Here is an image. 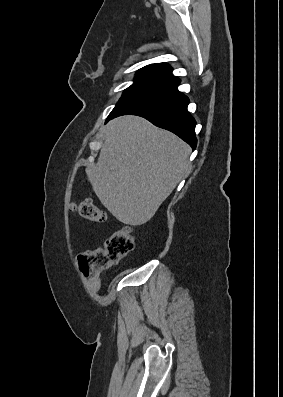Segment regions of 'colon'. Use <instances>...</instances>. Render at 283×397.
I'll use <instances>...</instances> for the list:
<instances>
[{
    "mask_svg": "<svg viewBox=\"0 0 283 397\" xmlns=\"http://www.w3.org/2000/svg\"><path fill=\"white\" fill-rule=\"evenodd\" d=\"M71 210L81 218L95 223H103L108 215L92 200L86 199L71 204ZM134 248V237L129 226H123L112 233L102 246L88 249L78 257L79 268L92 292L100 288L101 273L118 263Z\"/></svg>",
    "mask_w": 283,
    "mask_h": 397,
    "instance_id": "1",
    "label": "colon"
}]
</instances>
